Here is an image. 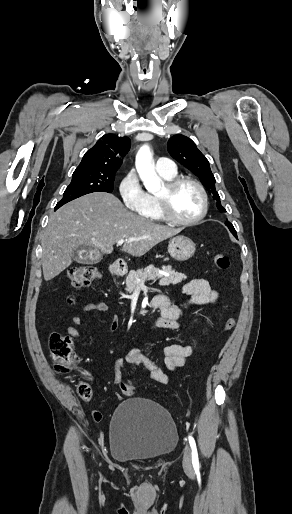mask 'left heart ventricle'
Returning a JSON list of instances; mask_svg holds the SVG:
<instances>
[{
  "instance_id": "obj_1",
  "label": "left heart ventricle",
  "mask_w": 292,
  "mask_h": 514,
  "mask_svg": "<svg viewBox=\"0 0 292 514\" xmlns=\"http://www.w3.org/2000/svg\"><path fill=\"white\" fill-rule=\"evenodd\" d=\"M164 187L155 195H162ZM171 213L180 220L194 218L200 210L201 200L198 190L192 185H183L168 195Z\"/></svg>"
}]
</instances>
